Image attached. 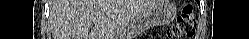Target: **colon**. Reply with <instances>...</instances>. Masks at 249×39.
<instances>
[{"label":"colon","instance_id":"5ec220e1","mask_svg":"<svg viewBox=\"0 0 249 39\" xmlns=\"http://www.w3.org/2000/svg\"><path fill=\"white\" fill-rule=\"evenodd\" d=\"M196 21L193 7L187 3L183 6L181 13L177 16L175 23L168 29V38H189L194 35Z\"/></svg>","mask_w":249,"mask_h":39}]
</instances>
